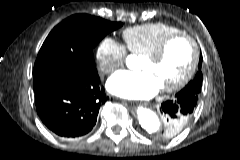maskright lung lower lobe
Returning <instances> with one entry per match:
<instances>
[{"label": "right lung lower lobe", "instance_id": "right-lung-lower-lobe-1", "mask_svg": "<svg viewBox=\"0 0 240 160\" xmlns=\"http://www.w3.org/2000/svg\"><path fill=\"white\" fill-rule=\"evenodd\" d=\"M33 84L40 119L63 138L88 134L96 124L100 106L109 99L97 71L80 75L51 67L35 76Z\"/></svg>", "mask_w": 240, "mask_h": 160}]
</instances>
